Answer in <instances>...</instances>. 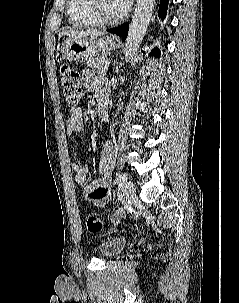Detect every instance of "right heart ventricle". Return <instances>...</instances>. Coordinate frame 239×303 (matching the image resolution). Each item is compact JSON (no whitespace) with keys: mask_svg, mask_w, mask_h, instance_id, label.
<instances>
[{"mask_svg":"<svg viewBox=\"0 0 239 303\" xmlns=\"http://www.w3.org/2000/svg\"><path fill=\"white\" fill-rule=\"evenodd\" d=\"M66 14L69 22L77 28H89L98 24L89 12L88 0H66Z\"/></svg>","mask_w":239,"mask_h":303,"instance_id":"e07e8e85","label":"right heart ventricle"}]
</instances>
